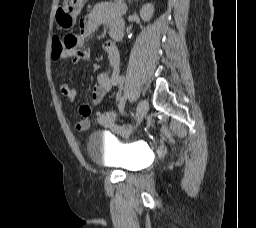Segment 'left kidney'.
Returning <instances> with one entry per match:
<instances>
[{
  "instance_id": "5707ae66",
  "label": "left kidney",
  "mask_w": 256,
  "mask_h": 228,
  "mask_svg": "<svg viewBox=\"0 0 256 228\" xmlns=\"http://www.w3.org/2000/svg\"><path fill=\"white\" fill-rule=\"evenodd\" d=\"M154 13V6L150 3L144 5L140 10V17L143 21L148 22Z\"/></svg>"
}]
</instances>
